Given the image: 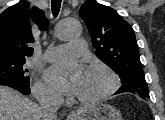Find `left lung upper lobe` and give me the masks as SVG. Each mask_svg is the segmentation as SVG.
<instances>
[{
	"label": "left lung upper lobe",
	"instance_id": "left-lung-upper-lobe-1",
	"mask_svg": "<svg viewBox=\"0 0 165 120\" xmlns=\"http://www.w3.org/2000/svg\"><path fill=\"white\" fill-rule=\"evenodd\" d=\"M79 15L91 34L96 56L121 78L123 86L116 94L131 92L148 99V86L131 26L114 9L93 1L85 2Z\"/></svg>",
	"mask_w": 165,
	"mask_h": 120
}]
</instances>
